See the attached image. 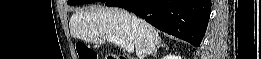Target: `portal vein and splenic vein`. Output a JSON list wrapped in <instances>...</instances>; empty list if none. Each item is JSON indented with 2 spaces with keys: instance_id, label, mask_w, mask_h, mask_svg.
Wrapping results in <instances>:
<instances>
[{
  "instance_id": "1",
  "label": "portal vein and splenic vein",
  "mask_w": 261,
  "mask_h": 59,
  "mask_svg": "<svg viewBox=\"0 0 261 59\" xmlns=\"http://www.w3.org/2000/svg\"><path fill=\"white\" fill-rule=\"evenodd\" d=\"M106 39L110 42L117 44L118 46L124 48L128 53H132L134 51V46L131 44L126 43L124 40L115 37V36H108Z\"/></svg>"
}]
</instances>
